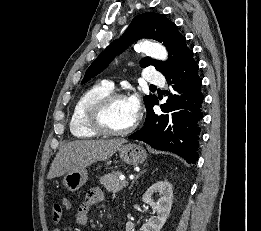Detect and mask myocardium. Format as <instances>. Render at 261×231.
I'll return each mask as SVG.
<instances>
[{"mask_svg": "<svg viewBox=\"0 0 261 231\" xmlns=\"http://www.w3.org/2000/svg\"><path fill=\"white\" fill-rule=\"evenodd\" d=\"M122 98L127 99V96L122 92H110L93 104L88 114V122L90 127L99 134L111 136H123L133 132L140 122V116L138 114L136 115L133 123L123 130H115L111 128L106 121V114L111 104Z\"/></svg>", "mask_w": 261, "mask_h": 231, "instance_id": "1", "label": "myocardium"}]
</instances>
